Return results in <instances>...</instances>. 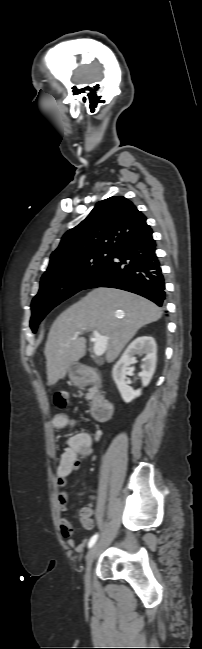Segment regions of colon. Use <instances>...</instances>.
I'll use <instances>...</instances> for the list:
<instances>
[{"mask_svg": "<svg viewBox=\"0 0 202 649\" xmlns=\"http://www.w3.org/2000/svg\"><path fill=\"white\" fill-rule=\"evenodd\" d=\"M54 403L59 408H65L68 403V394L66 391H58L54 394Z\"/></svg>", "mask_w": 202, "mask_h": 649, "instance_id": "1", "label": "colon"}]
</instances>
